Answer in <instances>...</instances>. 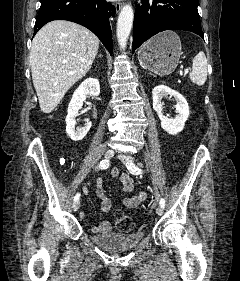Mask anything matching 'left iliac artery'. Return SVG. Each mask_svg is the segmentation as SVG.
<instances>
[{"mask_svg": "<svg viewBox=\"0 0 240 281\" xmlns=\"http://www.w3.org/2000/svg\"><path fill=\"white\" fill-rule=\"evenodd\" d=\"M127 169L130 171V173H132L134 175H138V174L142 173V170L133 163L127 164ZM159 204L162 208H164L165 200L163 198H161Z\"/></svg>", "mask_w": 240, "mask_h": 281, "instance_id": "obj_1", "label": "left iliac artery"}]
</instances>
